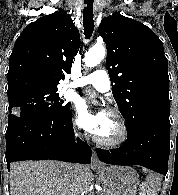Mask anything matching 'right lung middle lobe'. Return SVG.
Returning <instances> with one entry per match:
<instances>
[{"mask_svg":"<svg viewBox=\"0 0 178 195\" xmlns=\"http://www.w3.org/2000/svg\"><path fill=\"white\" fill-rule=\"evenodd\" d=\"M9 111L59 115L70 111V104L60 100L57 89H29L8 96Z\"/></svg>","mask_w":178,"mask_h":195,"instance_id":"dd1d6c3e","label":"right lung middle lobe"}]
</instances>
